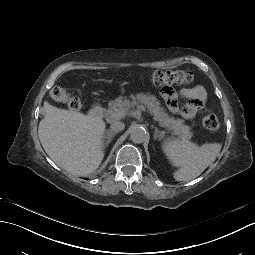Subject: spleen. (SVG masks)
Masks as SVG:
<instances>
[{
	"label": "spleen",
	"instance_id": "spleen-1",
	"mask_svg": "<svg viewBox=\"0 0 255 255\" xmlns=\"http://www.w3.org/2000/svg\"><path fill=\"white\" fill-rule=\"evenodd\" d=\"M221 145L203 144L201 147L186 139L168 140L163 151L174 166L177 181H190L199 176L216 158Z\"/></svg>",
	"mask_w": 255,
	"mask_h": 255
}]
</instances>
